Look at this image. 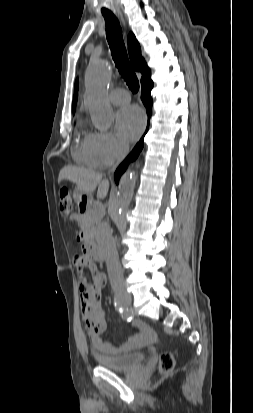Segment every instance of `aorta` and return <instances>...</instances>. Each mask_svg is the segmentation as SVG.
<instances>
[{"label": "aorta", "mask_w": 253, "mask_h": 413, "mask_svg": "<svg viewBox=\"0 0 253 413\" xmlns=\"http://www.w3.org/2000/svg\"><path fill=\"white\" fill-rule=\"evenodd\" d=\"M112 68L108 61L98 60L91 63L85 74V105L88 108L93 124L106 130L113 119V110L107 95L110 89ZM135 188V176L128 171L121 179L118 193L111 204V212L115 215L129 205Z\"/></svg>", "instance_id": "762f6f07"}]
</instances>
